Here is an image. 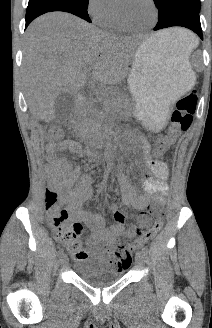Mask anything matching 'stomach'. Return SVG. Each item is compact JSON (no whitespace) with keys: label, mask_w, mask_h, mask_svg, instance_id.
I'll return each mask as SVG.
<instances>
[{"label":"stomach","mask_w":212,"mask_h":328,"mask_svg":"<svg viewBox=\"0 0 212 328\" xmlns=\"http://www.w3.org/2000/svg\"><path fill=\"white\" fill-rule=\"evenodd\" d=\"M194 83L189 56L179 46L149 38L136 50L128 84L137 115L151 129L163 128L173 102Z\"/></svg>","instance_id":"obj_1"}]
</instances>
